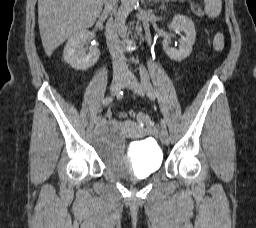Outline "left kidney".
<instances>
[{"label": "left kidney", "instance_id": "obj_1", "mask_svg": "<svg viewBox=\"0 0 256 228\" xmlns=\"http://www.w3.org/2000/svg\"><path fill=\"white\" fill-rule=\"evenodd\" d=\"M169 28L173 29L175 32L182 31L185 33V36L180 40L179 49L170 47V39L168 37L163 40V49L167 56L172 60L180 62L187 58L192 52L196 38L195 26L193 21L188 17L175 15Z\"/></svg>", "mask_w": 256, "mask_h": 228}]
</instances>
